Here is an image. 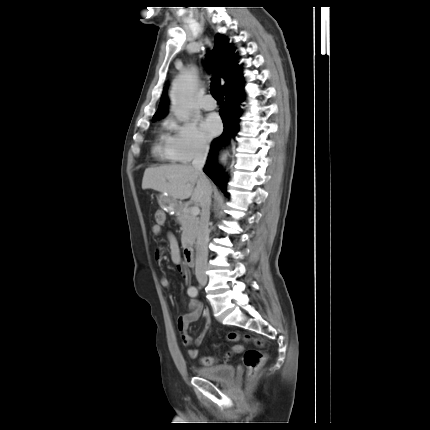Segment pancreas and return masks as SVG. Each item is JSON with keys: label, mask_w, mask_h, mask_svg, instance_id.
Returning a JSON list of instances; mask_svg holds the SVG:
<instances>
[{"label": "pancreas", "mask_w": 430, "mask_h": 430, "mask_svg": "<svg viewBox=\"0 0 430 430\" xmlns=\"http://www.w3.org/2000/svg\"><path fill=\"white\" fill-rule=\"evenodd\" d=\"M177 221L181 225V242L187 245L193 242L198 231L199 218L191 213V208L180 206L177 214Z\"/></svg>", "instance_id": "obj_1"}]
</instances>
